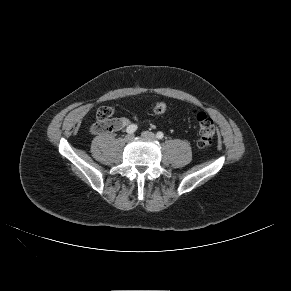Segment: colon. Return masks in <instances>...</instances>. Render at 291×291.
<instances>
[{"label": "colon", "instance_id": "5ec220e1", "mask_svg": "<svg viewBox=\"0 0 291 291\" xmlns=\"http://www.w3.org/2000/svg\"><path fill=\"white\" fill-rule=\"evenodd\" d=\"M167 103L157 102L153 111L157 115L164 114L167 111ZM114 109L112 106H101L96 114V122L92 125L91 131L94 134H102L111 132L113 130L112 115ZM193 115L199 128L198 146L200 148H207L212 144L216 127L212 117L204 111L194 110Z\"/></svg>", "mask_w": 291, "mask_h": 291}]
</instances>
